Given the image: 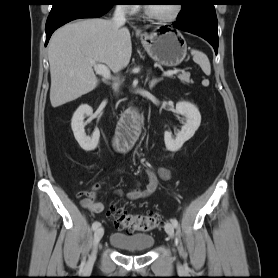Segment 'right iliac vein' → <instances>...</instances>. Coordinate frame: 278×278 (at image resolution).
Listing matches in <instances>:
<instances>
[{
    "label": "right iliac vein",
    "mask_w": 278,
    "mask_h": 278,
    "mask_svg": "<svg viewBox=\"0 0 278 278\" xmlns=\"http://www.w3.org/2000/svg\"><path fill=\"white\" fill-rule=\"evenodd\" d=\"M103 235H104V229H103V227L100 226L94 232V238H93V246L94 247H93V251L88 260V266H92L96 259V252H97L96 249H97V246H98L100 240L102 239Z\"/></svg>",
    "instance_id": "right-iliac-vein-1"
}]
</instances>
